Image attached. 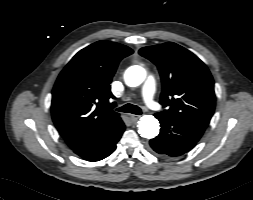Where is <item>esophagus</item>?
Instances as JSON below:
<instances>
[{
	"label": "esophagus",
	"instance_id": "1",
	"mask_svg": "<svg viewBox=\"0 0 253 200\" xmlns=\"http://www.w3.org/2000/svg\"><path fill=\"white\" fill-rule=\"evenodd\" d=\"M139 118H140L139 115H134V114H131V115H130V119H131L133 122L137 121Z\"/></svg>",
	"mask_w": 253,
	"mask_h": 200
}]
</instances>
